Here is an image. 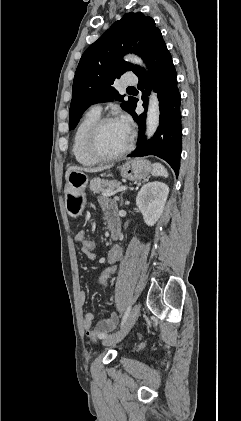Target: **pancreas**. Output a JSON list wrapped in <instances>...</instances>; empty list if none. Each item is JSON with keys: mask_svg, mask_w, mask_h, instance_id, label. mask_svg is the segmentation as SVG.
Returning <instances> with one entry per match:
<instances>
[{"mask_svg": "<svg viewBox=\"0 0 241 421\" xmlns=\"http://www.w3.org/2000/svg\"><path fill=\"white\" fill-rule=\"evenodd\" d=\"M121 187V182L117 180H103L100 178H94L90 181V190L95 194L101 192L113 191Z\"/></svg>", "mask_w": 241, "mask_h": 421, "instance_id": "cf45deb5", "label": "pancreas"}]
</instances>
